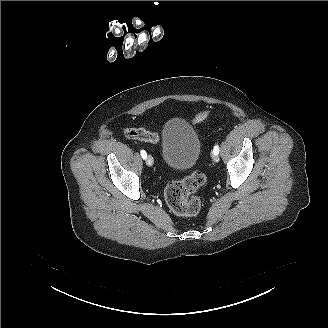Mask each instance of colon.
I'll return each instance as SVG.
<instances>
[{
  "label": "colon",
  "mask_w": 328,
  "mask_h": 328,
  "mask_svg": "<svg viewBox=\"0 0 328 328\" xmlns=\"http://www.w3.org/2000/svg\"><path fill=\"white\" fill-rule=\"evenodd\" d=\"M210 112L203 110L196 114L192 121L199 123L204 121ZM125 136L132 140L147 143H158L157 134L143 128H128L125 130ZM206 181L204 173L193 171L181 180L170 182L165 189V201L169 209L177 216L192 218L197 216L202 208L201 198L195 193Z\"/></svg>",
  "instance_id": "obj_1"
}]
</instances>
